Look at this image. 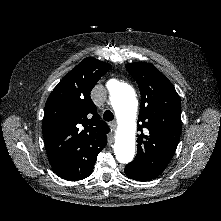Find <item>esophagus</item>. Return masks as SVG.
<instances>
[{
  "instance_id": "34e87169",
  "label": "esophagus",
  "mask_w": 221,
  "mask_h": 221,
  "mask_svg": "<svg viewBox=\"0 0 221 221\" xmlns=\"http://www.w3.org/2000/svg\"><path fill=\"white\" fill-rule=\"evenodd\" d=\"M110 127H111L112 131H115V130H116V127H117L116 121H112V122L110 123Z\"/></svg>"
}]
</instances>
